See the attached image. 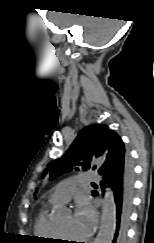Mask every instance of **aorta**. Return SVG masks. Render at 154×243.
Segmentation results:
<instances>
[{"label": "aorta", "mask_w": 154, "mask_h": 243, "mask_svg": "<svg viewBox=\"0 0 154 243\" xmlns=\"http://www.w3.org/2000/svg\"><path fill=\"white\" fill-rule=\"evenodd\" d=\"M102 209L101 226L94 243H112L115 233V205L110 189L106 190Z\"/></svg>", "instance_id": "762f6f07"}]
</instances>
